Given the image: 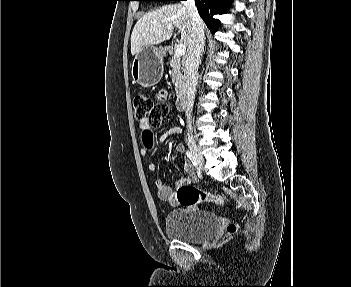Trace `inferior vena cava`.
Instances as JSON below:
<instances>
[{
  "mask_svg": "<svg viewBox=\"0 0 351 287\" xmlns=\"http://www.w3.org/2000/svg\"><path fill=\"white\" fill-rule=\"evenodd\" d=\"M191 19L192 25V41L187 53V59L184 69V83H185V107L187 117L188 138H193L191 118L192 109L194 105L196 93V74L201 62L202 52L205 45L204 23L198 14L194 0H186L183 2Z\"/></svg>",
  "mask_w": 351,
  "mask_h": 287,
  "instance_id": "602c4592",
  "label": "inferior vena cava"
}]
</instances>
